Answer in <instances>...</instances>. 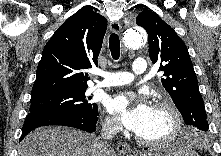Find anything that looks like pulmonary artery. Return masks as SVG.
Returning a JSON list of instances; mask_svg holds the SVG:
<instances>
[{
  "instance_id": "pulmonary-artery-1",
  "label": "pulmonary artery",
  "mask_w": 221,
  "mask_h": 156,
  "mask_svg": "<svg viewBox=\"0 0 221 156\" xmlns=\"http://www.w3.org/2000/svg\"><path fill=\"white\" fill-rule=\"evenodd\" d=\"M147 64L144 58H137L132 65V72H101L104 79L96 84L95 87H111L125 85L132 82L136 75L146 72Z\"/></svg>"
}]
</instances>
